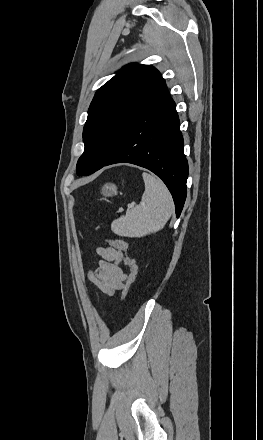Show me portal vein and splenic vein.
I'll list each match as a JSON object with an SVG mask.
<instances>
[{
    "label": "portal vein and splenic vein",
    "instance_id": "portal-vein-and-splenic-vein-1",
    "mask_svg": "<svg viewBox=\"0 0 263 440\" xmlns=\"http://www.w3.org/2000/svg\"><path fill=\"white\" fill-rule=\"evenodd\" d=\"M135 205V203H131L128 205L129 208L133 207Z\"/></svg>",
    "mask_w": 263,
    "mask_h": 440
}]
</instances>
